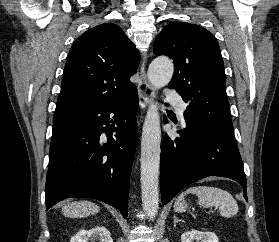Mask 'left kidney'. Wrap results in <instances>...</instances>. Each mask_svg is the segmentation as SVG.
<instances>
[{"label": "left kidney", "mask_w": 279, "mask_h": 242, "mask_svg": "<svg viewBox=\"0 0 279 242\" xmlns=\"http://www.w3.org/2000/svg\"><path fill=\"white\" fill-rule=\"evenodd\" d=\"M193 240H197V242H219L215 233L210 231L201 232L192 229L191 231L184 232L181 235V242H192Z\"/></svg>", "instance_id": "5707ae66"}]
</instances>
